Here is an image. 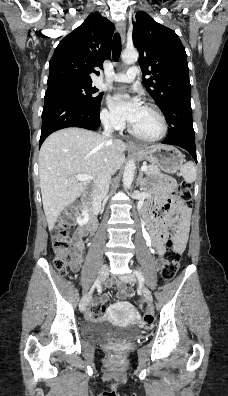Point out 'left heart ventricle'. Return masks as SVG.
<instances>
[{
	"instance_id": "b2bd125f",
	"label": "left heart ventricle",
	"mask_w": 228,
	"mask_h": 396,
	"mask_svg": "<svg viewBox=\"0 0 228 396\" xmlns=\"http://www.w3.org/2000/svg\"><path fill=\"white\" fill-rule=\"evenodd\" d=\"M134 129L141 135L153 137L160 133L161 124L158 117L149 109L142 107L137 121L133 124Z\"/></svg>"
}]
</instances>
